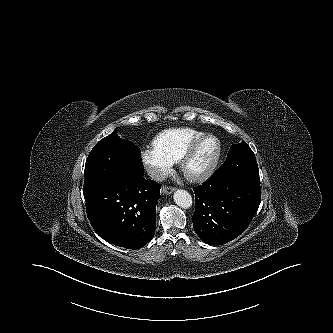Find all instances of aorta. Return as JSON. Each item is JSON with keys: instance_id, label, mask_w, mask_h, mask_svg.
<instances>
[{"instance_id": "obj_1", "label": "aorta", "mask_w": 333, "mask_h": 333, "mask_svg": "<svg viewBox=\"0 0 333 333\" xmlns=\"http://www.w3.org/2000/svg\"><path fill=\"white\" fill-rule=\"evenodd\" d=\"M173 198L174 202L181 208L187 209L192 205V197L186 190H176Z\"/></svg>"}]
</instances>
